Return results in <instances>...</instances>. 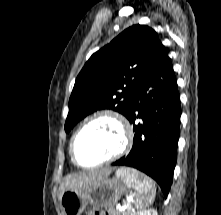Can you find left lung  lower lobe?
Wrapping results in <instances>:
<instances>
[{"instance_id":"obj_1","label":"left lung lower lobe","mask_w":221,"mask_h":215,"mask_svg":"<svg viewBox=\"0 0 221 215\" xmlns=\"http://www.w3.org/2000/svg\"><path fill=\"white\" fill-rule=\"evenodd\" d=\"M180 98L173 66L162 45L129 107L133 146L114 166L136 168L152 177L167 197L176 165L180 135ZM140 118L141 122L135 124Z\"/></svg>"}]
</instances>
